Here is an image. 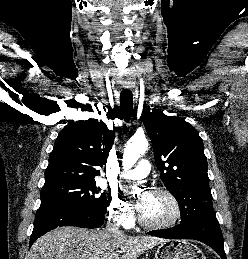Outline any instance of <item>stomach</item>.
Segmentation results:
<instances>
[{
	"mask_svg": "<svg viewBox=\"0 0 248 259\" xmlns=\"http://www.w3.org/2000/svg\"><path fill=\"white\" fill-rule=\"evenodd\" d=\"M154 259H206L201 250L187 242L172 240L163 242L155 251Z\"/></svg>",
	"mask_w": 248,
	"mask_h": 259,
	"instance_id": "0dacf381",
	"label": "stomach"
}]
</instances>
